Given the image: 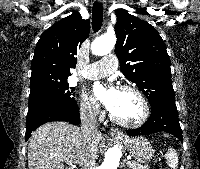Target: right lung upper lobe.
I'll return each instance as SVG.
<instances>
[{"mask_svg":"<svg viewBox=\"0 0 200 169\" xmlns=\"http://www.w3.org/2000/svg\"><path fill=\"white\" fill-rule=\"evenodd\" d=\"M90 22L78 12L49 27L40 37L31 63L30 86L47 81L67 80L75 68L78 52L88 37Z\"/></svg>","mask_w":200,"mask_h":169,"instance_id":"right-lung-upper-lobe-1","label":"right lung upper lobe"}]
</instances>
